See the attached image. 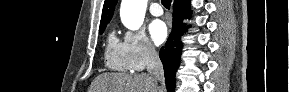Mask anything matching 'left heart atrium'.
I'll return each instance as SVG.
<instances>
[{"label": "left heart atrium", "mask_w": 289, "mask_h": 92, "mask_svg": "<svg viewBox=\"0 0 289 92\" xmlns=\"http://www.w3.org/2000/svg\"><path fill=\"white\" fill-rule=\"evenodd\" d=\"M149 31L156 45L162 44L167 39L168 29L166 24L161 20H154L149 26Z\"/></svg>", "instance_id": "left-heart-atrium-1"}]
</instances>
